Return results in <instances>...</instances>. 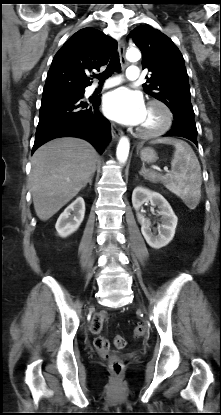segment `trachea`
I'll use <instances>...</instances> for the list:
<instances>
[{
    "mask_svg": "<svg viewBox=\"0 0 221 415\" xmlns=\"http://www.w3.org/2000/svg\"><path fill=\"white\" fill-rule=\"evenodd\" d=\"M120 70H121V64H120L119 55L115 54L112 56L106 70L99 75H94V77L98 78L100 82H103L105 79L112 76L114 72H120Z\"/></svg>",
    "mask_w": 221,
    "mask_h": 415,
    "instance_id": "obj_1",
    "label": "trachea"
}]
</instances>
